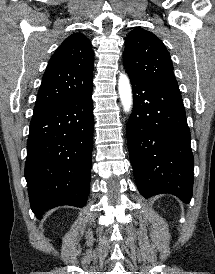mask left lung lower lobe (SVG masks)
<instances>
[{"instance_id": "obj_1", "label": "left lung lower lobe", "mask_w": 215, "mask_h": 274, "mask_svg": "<svg viewBox=\"0 0 215 274\" xmlns=\"http://www.w3.org/2000/svg\"><path fill=\"white\" fill-rule=\"evenodd\" d=\"M129 77L134 104L126 134L139 192L145 198L170 193L189 203L194 161L181 94Z\"/></svg>"}]
</instances>
